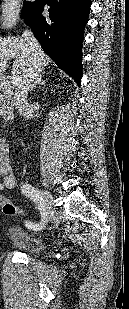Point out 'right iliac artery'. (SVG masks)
<instances>
[{
	"label": "right iliac artery",
	"mask_w": 129,
	"mask_h": 309,
	"mask_svg": "<svg viewBox=\"0 0 129 309\" xmlns=\"http://www.w3.org/2000/svg\"><path fill=\"white\" fill-rule=\"evenodd\" d=\"M22 192L25 196L33 200V202L35 203L36 207L39 209L41 216H42L40 224L30 222L28 224V227L33 228L34 230H39L42 228V225L44 223V219L46 216L45 207L42 203V197L40 196L39 192L35 190L34 187H32L31 185L24 186Z\"/></svg>",
	"instance_id": "82829eb1"
}]
</instances>
